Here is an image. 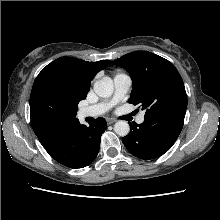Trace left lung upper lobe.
Returning <instances> with one entry per match:
<instances>
[{
	"label": "left lung upper lobe",
	"instance_id": "1",
	"mask_svg": "<svg viewBox=\"0 0 220 220\" xmlns=\"http://www.w3.org/2000/svg\"><path fill=\"white\" fill-rule=\"evenodd\" d=\"M127 70L133 89L128 102L139 105L145 116L168 111H186L183 80L168 60L148 51L133 52L114 61Z\"/></svg>",
	"mask_w": 220,
	"mask_h": 220
}]
</instances>
